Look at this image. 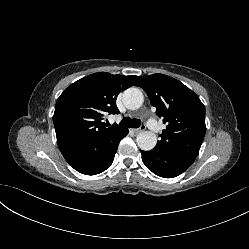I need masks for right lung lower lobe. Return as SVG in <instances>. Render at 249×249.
<instances>
[{
  "instance_id": "98d812e1",
  "label": "right lung lower lobe",
  "mask_w": 249,
  "mask_h": 249,
  "mask_svg": "<svg viewBox=\"0 0 249 249\" xmlns=\"http://www.w3.org/2000/svg\"><path fill=\"white\" fill-rule=\"evenodd\" d=\"M127 129L95 140L58 142L66 161L78 172L95 175L105 171L112 164L119 142L128 134Z\"/></svg>"
}]
</instances>
